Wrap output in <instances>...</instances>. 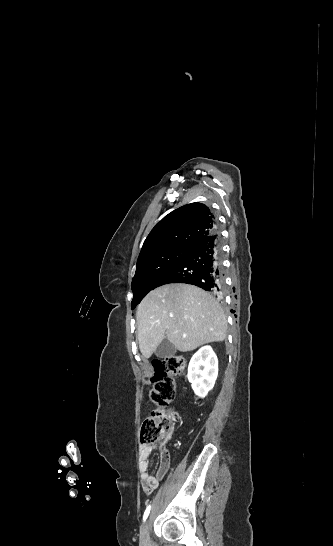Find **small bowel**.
<instances>
[{
    "label": "small bowel",
    "instance_id": "1",
    "mask_svg": "<svg viewBox=\"0 0 333 546\" xmlns=\"http://www.w3.org/2000/svg\"><path fill=\"white\" fill-rule=\"evenodd\" d=\"M156 446L142 443L139 445L138 457H139V470L141 473V486L146 495L151 494L166 476L170 469L171 456L170 452L163 446H159L160 461L156 473L153 475L150 473L151 461L150 457Z\"/></svg>",
    "mask_w": 333,
    "mask_h": 546
}]
</instances>
